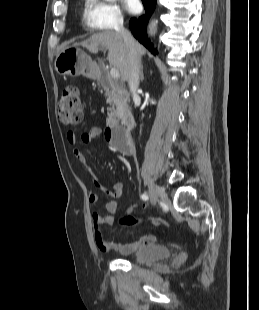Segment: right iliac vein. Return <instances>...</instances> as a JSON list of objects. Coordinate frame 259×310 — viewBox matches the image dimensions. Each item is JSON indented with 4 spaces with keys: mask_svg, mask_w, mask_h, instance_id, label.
Returning <instances> with one entry per match:
<instances>
[{
    "mask_svg": "<svg viewBox=\"0 0 259 310\" xmlns=\"http://www.w3.org/2000/svg\"><path fill=\"white\" fill-rule=\"evenodd\" d=\"M149 192L153 205H156L159 198L166 200L167 196L164 190L153 182L149 183Z\"/></svg>",
    "mask_w": 259,
    "mask_h": 310,
    "instance_id": "obj_1",
    "label": "right iliac vein"
}]
</instances>
